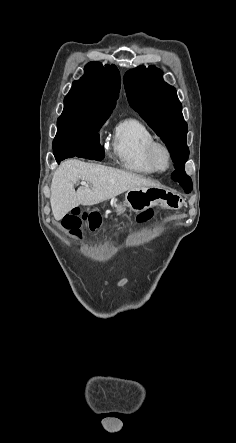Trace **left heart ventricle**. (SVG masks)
I'll list each match as a JSON object with an SVG mask.
<instances>
[{"mask_svg":"<svg viewBox=\"0 0 236 443\" xmlns=\"http://www.w3.org/2000/svg\"><path fill=\"white\" fill-rule=\"evenodd\" d=\"M157 162L160 168H165L167 165V156L163 150H158L157 154Z\"/></svg>","mask_w":236,"mask_h":443,"instance_id":"obj_1","label":"left heart ventricle"}]
</instances>
